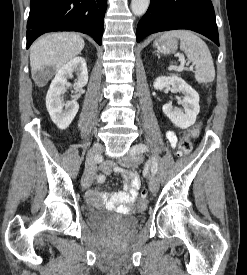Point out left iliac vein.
Segmentation results:
<instances>
[{
  "label": "left iliac vein",
  "mask_w": 247,
  "mask_h": 275,
  "mask_svg": "<svg viewBox=\"0 0 247 275\" xmlns=\"http://www.w3.org/2000/svg\"><path fill=\"white\" fill-rule=\"evenodd\" d=\"M137 147H138V145L133 146L130 149V155L128 157L120 159L119 163L122 166L133 167V166H136V165H138V164H140L142 162L143 156H142V154L140 152L137 151ZM158 186H159V183H158L157 178L154 175H152L150 177V181H149L150 191L152 193L157 192Z\"/></svg>",
  "instance_id": "1"
}]
</instances>
